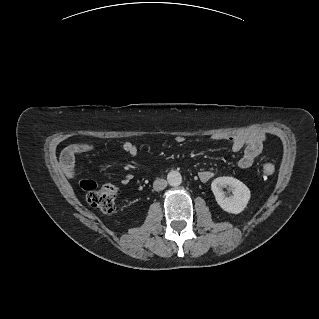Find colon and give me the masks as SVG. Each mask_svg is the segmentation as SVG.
<instances>
[{
  "label": "colon",
  "instance_id": "5ec220e1",
  "mask_svg": "<svg viewBox=\"0 0 319 319\" xmlns=\"http://www.w3.org/2000/svg\"><path fill=\"white\" fill-rule=\"evenodd\" d=\"M274 171L275 167L271 163L262 166V174L265 177L272 175ZM80 186L87 192V201L90 206L103 214H110L115 210L117 190L114 186L103 185L99 187L95 181L90 179H83Z\"/></svg>",
  "mask_w": 319,
  "mask_h": 319
}]
</instances>
